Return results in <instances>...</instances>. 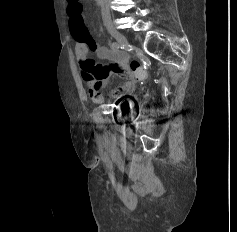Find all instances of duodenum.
<instances>
[{
	"label": "duodenum",
	"mask_w": 237,
	"mask_h": 232,
	"mask_svg": "<svg viewBox=\"0 0 237 232\" xmlns=\"http://www.w3.org/2000/svg\"><path fill=\"white\" fill-rule=\"evenodd\" d=\"M94 1H96L98 4H100L102 0H94Z\"/></svg>",
	"instance_id": "duodenum-1"
}]
</instances>
